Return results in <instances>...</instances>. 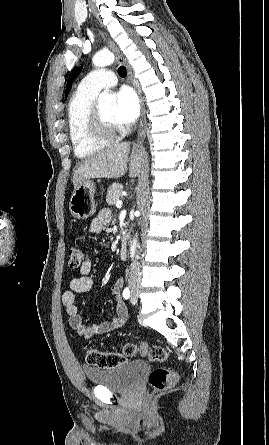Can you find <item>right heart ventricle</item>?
Segmentation results:
<instances>
[{"label": "right heart ventricle", "mask_w": 269, "mask_h": 445, "mask_svg": "<svg viewBox=\"0 0 269 445\" xmlns=\"http://www.w3.org/2000/svg\"><path fill=\"white\" fill-rule=\"evenodd\" d=\"M96 95L78 87L68 104V135L73 152L79 159H86L95 155L112 141V139L97 138L89 131L88 119Z\"/></svg>", "instance_id": "right-heart-ventricle-1"}]
</instances>
